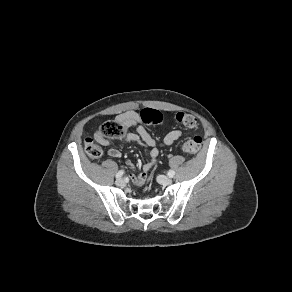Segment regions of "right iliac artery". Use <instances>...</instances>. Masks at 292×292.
Listing matches in <instances>:
<instances>
[{
  "label": "right iliac artery",
  "instance_id": "82829eb1",
  "mask_svg": "<svg viewBox=\"0 0 292 292\" xmlns=\"http://www.w3.org/2000/svg\"><path fill=\"white\" fill-rule=\"evenodd\" d=\"M124 174L123 170H120L117 174H116V178H120L122 177V175Z\"/></svg>",
  "mask_w": 292,
  "mask_h": 292
}]
</instances>
